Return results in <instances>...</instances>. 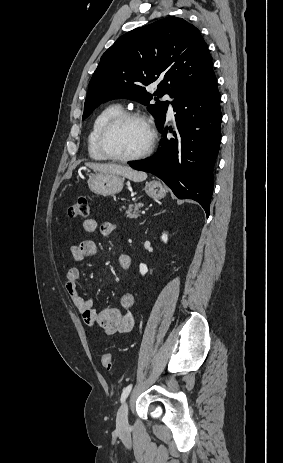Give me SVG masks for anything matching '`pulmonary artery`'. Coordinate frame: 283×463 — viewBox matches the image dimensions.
Returning <instances> with one entry per match:
<instances>
[{
    "label": "pulmonary artery",
    "mask_w": 283,
    "mask_h": 463,
    "mask_svg": "<svg viewBox=\"0 0 283 463\" xmlns=\"http://www.w3.org/2000/svg\"><path fill=\"white\" fill-rule=\"evenodd\" d=\"M164 99L169 101L168 115L169 117H173V108H172V103H171L172 97L169 94H166L164 96Z\"/></svg>",
    "instance_id": "obj_1"
}]
</instances>
